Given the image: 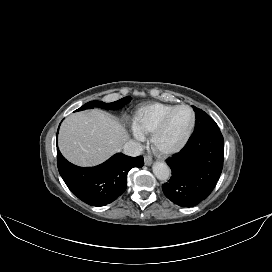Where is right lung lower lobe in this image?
Here are the masks:
<instances>
[{"label": "right lung lower lobe", "mask_w": 272, "mask_h": 272, "mask_svg": "<svg viewBox=\"0 0 272 272\" xmlns=\"http://www.w3.org/2000/svg\"><path fill=\"white\" fill-rule=\"evenodd\" d=\"M142 156L117 153L95 167H78L68 162L57 149V166L70 191L91 206H103L116 200L125 190L127 174L133 167H142Z\"/></svg>", "instance_id": "98d812e1"}]
</instances>
